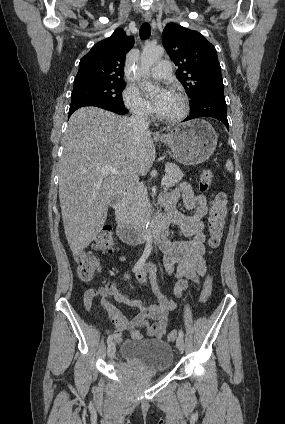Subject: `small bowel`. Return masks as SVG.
<instances>
[{
	"mask_svg": "<svg viewBox=\"0 0 285 424\" xmlns=\"http://www.w3.org/2000/svg\"><path fill=\"white\" fill-rule=\"evenodd\" d=\"M183 198L187 210L195 209L193 215H184L177 211L176 207ZM161 205L165 209V218L168 223L175 225L185 239L169 240L159 237L158 245L164 253V268L166 273L176 280L174 291L178 297H182L189 288L188 280L193 281L198 287L201 279L207 272V264L204 258L206 254L205 234L203 218L207 214V203L203 195L193 192L188 184H181L175 190L165 194L161 198ZM126 256H121L124 261ZM147 272L152 290L157 297V303H147L134 299L125 294L116 282H110L98 289L88 288L84 293V306L92 311L95 299L99 298L102 309L107 312L114 325L115 340L120 343L127 332L133 339L141 337L140 330L153 338H162L167 333L169 325V313L176 307L175 303L168 299L162 292L157 282L155 267L148 263L135 272L136 280L143 286L147 284ZM128 280V276H124ZM110 298L130 307H135L139 313L128 320L122 312L110 302ZM148 318L153 324H149Z\"/></svg>",
	"mask_w": 285,
	"mask_h": 424,
	"instance_id": "1",
	"label": "small bowel"
}]
</instances>
